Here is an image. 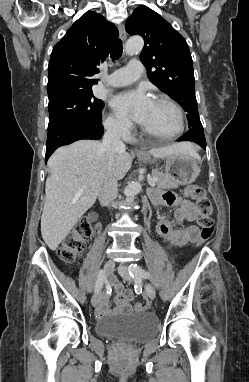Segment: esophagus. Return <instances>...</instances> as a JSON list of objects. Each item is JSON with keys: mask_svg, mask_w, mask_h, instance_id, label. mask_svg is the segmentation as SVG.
Here are the masks:
<instances>
[{"mask_svg": "<svg viewBox=\"0 0 249 382\" xmlns=\"http://www.w3.org/2000/svg\"><path fill=\"white\" fill-rule=\"evenodd\" d=\"M118 30H119L120 38H121L122 40H125V39H126V32H125L124 26H123L122 24H120V25L118 26ZM136 152H137V153H142V151H141V150H138V149H136Z\"/></svg>", "mask_w": 249, "mask_h": 382, "instance_id": "obj_1", "label": "esophagus"}]
</instances>
